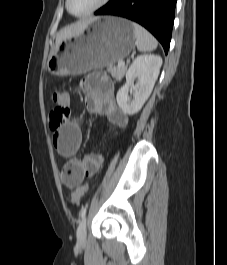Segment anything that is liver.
Returning a JSON list of instances; mask_svg holds the SVG:
<instances>
[{
	"label": "liver",
	"instance_id": "liver-1",
	"mask_svg": "<svg viewBox=\"0 0 227 265\" xmlns=\"http://www.w3.org/2000/svg\"><path fill=\"white\" fill-rule=\"evenodd\" d=\"M87 23L85 22H78L76 24L67 26L60 30L56 37V47H58L62 41L75 37L83 32V30L86 28Z\"/></svg>",
	"mask_w": 227,
	"mask_h": 265
}]
</instances>
